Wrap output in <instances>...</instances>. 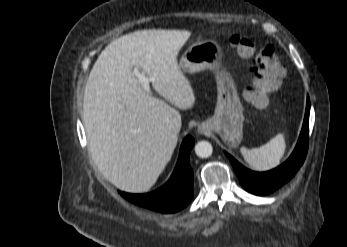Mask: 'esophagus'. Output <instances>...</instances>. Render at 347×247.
Here are the masks:
<instances>
[{
  "label": "esophagus",
  "mask_w": 347,
  "mask_h": 247,
  "mask_svg": "<svg viewBox=\"0 0 347 247\" xmlns=\"http://www.w3.org/2000/svg\"><path fill=\"white\" fill-rule=\"evenodd\" d=\"M198 132H199L200 134H203V133H204V129L199 128V129H198Z\"/></svg>",
  "instance_id": "obj_1"
}]
</instances>
